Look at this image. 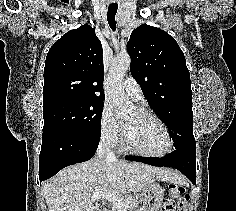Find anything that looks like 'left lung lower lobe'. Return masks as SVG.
Listing matches in <instances>:
<instances>
[{"label":"left lung lower lobe","mask_w":236,"mask_h":211,"mask_svg":"<svg viewBox=\"0 0 236 211\" xmlns=\"http://www.w3.org/2000/svg\"><path fill=\"white\" fill-rule=\"evenodd\" d=\"M125 159L143 162L153 166L173 167L182 172L193 184H196V153L195 151H178L163 158L126 156Z\"/></svg>","instance_id":"0a47b994"}]
</instances>
